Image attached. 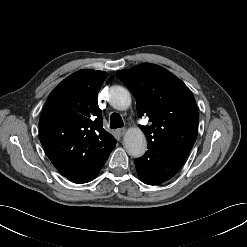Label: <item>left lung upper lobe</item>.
<instances>
[{"label": "left lung upper lobe", "mask_w": 247, "mask_h": 247, "mask_svg": "<svg viewBox=\"0 0 247 247\" xmlns=\"http://www.w3.org/2000/svg\"><path fill=\"white\" fill-rule=\"evenodd\" d=\"M116 74L136 98L139 117L147 115L152 122L140 127L148 139V147L178 144L192 149L199 114L192 92L179 78L150 63Z\"/></svg>", "instance_id": "left-lung-upper-lobe-1"}]
</instances>
